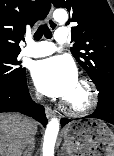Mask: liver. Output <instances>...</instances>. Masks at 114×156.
I'll return each mask as SVG.
<instances>
[{
	"mask_svg": "<svg viewBox=\"0 0 114 156\" xmlns=\"http://www.w3.org/2000/svg\"><path fill=\"white\" fill-rule=\"evenodd\" d=\"M37 131V122L19 114H0V156H22Z\"/></svg>",
	"mask_w": 114,
	"mask_h": 156,
	"instance_id": "liver-1",
	"label": "liver"
}]
</instances>
